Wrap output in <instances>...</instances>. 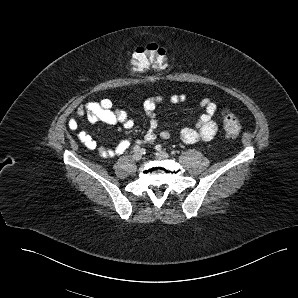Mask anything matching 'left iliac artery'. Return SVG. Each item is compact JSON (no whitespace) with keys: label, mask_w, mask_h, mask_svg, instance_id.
<instances>
[{"label":"left iliac artery","mask_w":298,"mask_h":298,"mask_svg":"<svg viewBox=\"0 0 298 298\" xmlns=\"http://www.w3.org/2000/svg\"><path fill=\"white\" fill-rule=\"evenodd\" d=\"M155 149L158 150V151H160V150L162 149V146H161L160 144H157V145L155 146Z\"/></svg>","instance_id":"1"}]
</instances>
